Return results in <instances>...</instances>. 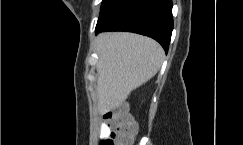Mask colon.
I'll return each mask as SVG.
<instances>
[{
    "mask_svg": "<svg viewBox=\"0 0 243 145\" xmlns=\"http://www.w3.org/2000/svg\"><path fill=\"white\" fill-rule=\"evenodd\" d=\"M112 121L113 128L109 135L101 139L99 145H131L137 133V124L129 114L127 105L122 104L104 115Z\"/></svg>",
    "mask_w": 243,
    "mask_h": 145,
    "instance_id": "colon-1",
    "label": "colon"
}]
</instances>
